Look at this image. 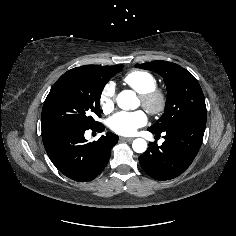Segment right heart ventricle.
<instances>
[{"label": "right heart ventricle", "instance_id": "right-heart-ventricle-1", "mask_svg": "<svg viewBox=\"0 0 236 236\" xmlns=\"http://www.w3.org/2000/svg\"><path fill=\"white\" fill-rule=\"evenodd\" d=\"M123 83L137 93L147 92L157 85L155 76L144 70H133L123 77Z\"/></svg>", "mask_w": 236, "mask_h": 236}]
</instances>
